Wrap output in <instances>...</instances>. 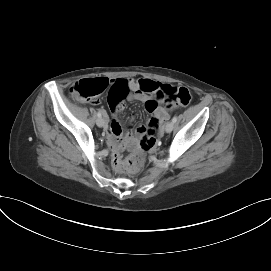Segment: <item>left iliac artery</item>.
Returning <instances> with one entry per match:
<instances>
[{
  "mask_svg": "<svg viewBox=\"0 0 271 271\" xmlns=\"http://www.w3.org/2000/svg\"><path fill=\"white\" fill-rule=\"evenodd\" d=\"M177 119H178L177 116H174V117L172 118V122H173V123H176V122H177Z\"/></svg>",
  "mask_w": 271,
  "mask_h": 271,
  "instance_id": "obj_1",
  "label": "left iliac artery"
}]
</instances>
